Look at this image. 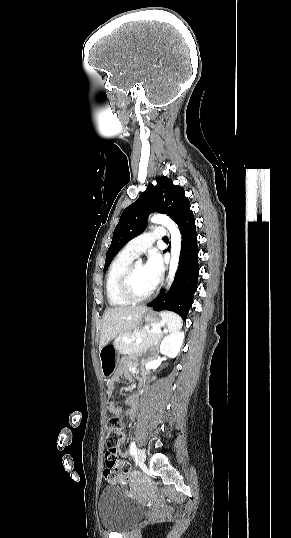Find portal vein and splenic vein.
Segmentation results:
<instances>
[{
  "instance_id": "18ae733b",
  "label": "portal vein and splenic vein",
  "mask_w": 291,
  "mask_h": 538,
  "mask_svg": "<svg viewBox=\"0 0 291 538\" xmlns=\"http://www.w3.org/2000/svg\"><path fill=\"white\" fill-rule=\"evenodd\" d=\"M159 331H160V328L157 327V326H153L152 329L150 330V332H159ZM141 341H142L141 338H137L136 341H135V343H136V344H139Z\"/></svg>"
}]
</instances>
